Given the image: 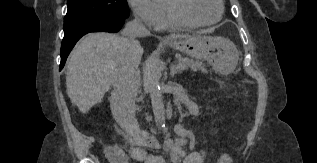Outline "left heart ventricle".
Returning <instances> with one entry per match:
<instances>
[{"instance_id": "1", "label": "left heart ventricle", "mask_w": 317, "mask_h": 163, "mask_svg": "<svg viewBox=\"0 0 317 163\" xmlns=\"http://www.w3.org/2000/svg\"><path fill=\"white\" fill-rule=\"evenodd\" d=\"M181 9L192 20L209 21L220 12L217 0H181Z\"/></svg>"}]
</instances>
